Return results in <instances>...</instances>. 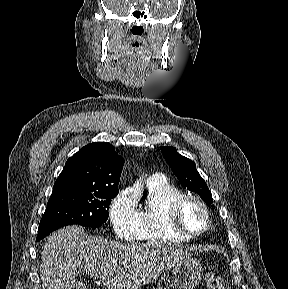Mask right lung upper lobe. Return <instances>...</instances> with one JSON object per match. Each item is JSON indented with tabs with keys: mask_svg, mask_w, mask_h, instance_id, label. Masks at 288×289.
I'll return each instance as SVG.
<instances>
[{
	"mask_svg": "<svg viewBox=\"0 0 288 289\" xmlns=\"http://www.w3.org/2000/svg\"><path fill=\"white\" fill-rule=\"evenodd\" d=\"M124 159L106 142L84 146L70 157L57 178L53 192L118 190Z\"/></svg>",
	"mask_w": 288,
	"mask_h": 289,
	"instance_id": "obj_1",
	"label": "right lung upper lobe"
}]
</instances>
